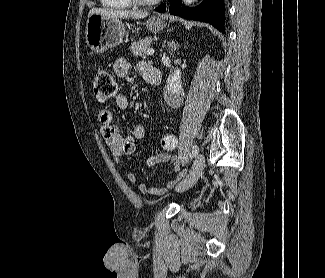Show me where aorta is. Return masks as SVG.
<instances>
[{
	"label": "aorta",
	"instance_id": "762f6f07",
	"mask_svg": "<svg viewBox=\"0 0 325 278\" xmlns=\"http://www.w3.org/2000/svg\"><path fill=\"white\" fill-rule=\"evenodd\" d=\"M196 0H183L184 4L190 5ZM166 90L172 97H177L182 92L181 70L175 68L169 75L166 83Z\"/></svg>",
	"mask_w": 325,
	"mask_h": 278
}]
</instances>
